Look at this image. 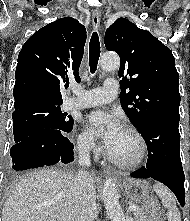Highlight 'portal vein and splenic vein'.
<instances>
[{"instance_id":"portal-vein-and-splenic-vein-1","label":"portal vein and splenic vein","mask_w":190,"mask_h":221,"mask_svg":"<svg viewBox=\"0 0 190 221\" xmlns=\"http://www.w3.org/2000/svg\"><path fill=\"white\" fill-rule=\"evenodd\" d=\"M136 209H137V206H135V205L129 206V210H131V211H135Z\"/></svg>"}]
</instances>
